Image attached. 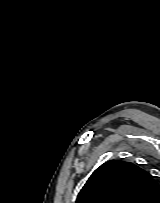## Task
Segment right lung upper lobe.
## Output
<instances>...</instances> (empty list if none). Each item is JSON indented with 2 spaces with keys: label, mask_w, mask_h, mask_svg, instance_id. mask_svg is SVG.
<instances>
[{
  "label": "right lung upper lobe",
  "mask_w": 160,
  "mask_h": 203,
  "mask_svg": "<svg viewBox=\"0 0 160 203\" xmlns=\"http://www.w3.org/2000/svg\"><path fill=\"white\" fill-rule=\"evenodd\" d=\"M159 190L147 171L130 162L110 160L92 173L76 203H154Z\"/></svg>",
  "instance_id": "obj_1"
}]
</instances>
